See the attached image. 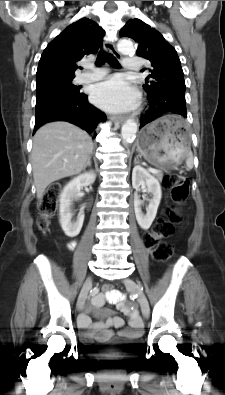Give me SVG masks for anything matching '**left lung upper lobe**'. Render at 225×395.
Wrapping results in <instances>:
<instances>
[{"label":"left lung upper lobe","mask_w":225,"mask_h":395,"mask_svg":"<svg viewBox=\"0 0 225 395\" xmlns=\"http://www.w3.org/2000/svg\"><path fill=\"white\" fill-rule=\"evenodd\" d=\"M120 36L134 39L139 44L137 55L152 64L144 85L148 95L185 94L184 73L177 52L157 30L140 19H130L121 29Z\"/></svg>","instance_id":"left-lung-upper-lobe-1"}]
</instances>
